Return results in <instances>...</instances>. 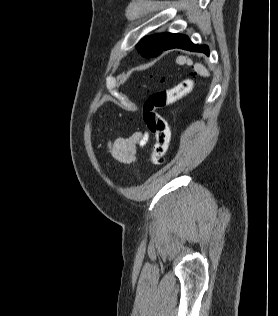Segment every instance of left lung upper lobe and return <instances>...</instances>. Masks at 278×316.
<instances>
[{"mask_svg":"<svg viewBox=\"0 0 278 316\" xmlns=\"http://www.w3.org/2000/svg\"><path fill=\"white\" fill-rule=\"evenodd\" d=\"M175 35L176 34L173 33H159L147 36L137 44V49L139 53L146 58L158 56Z\"/></svg>","mask_w":278,"mask_h":316,"instance_id":"obj_1","label":"left lung upper lobe"}]
</instances>
